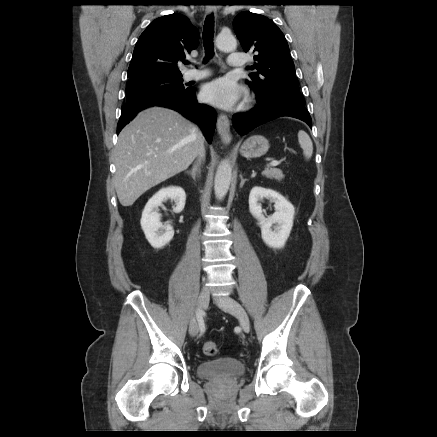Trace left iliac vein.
I'll list each match as a JSON object with an SVG mask.
<instances>
[{
  "label": "left iliac vein",
  "mask_w": 437,
  "mask_h": 437,
  "mask_svg": "<svg viewBox=\"0 0 437 437\" xmlns=\"http://www.w3.org/2000/svg\"><path fill=\"white\" fill-rule=\"evenodd\" d=\"M214 299L220 308L238 318L244 331L249 330L250 324L248 315L237 301L226 295L216 296Z\"/></svg>",
  "instance_id": "4c4485c4"
}]
</instances>
